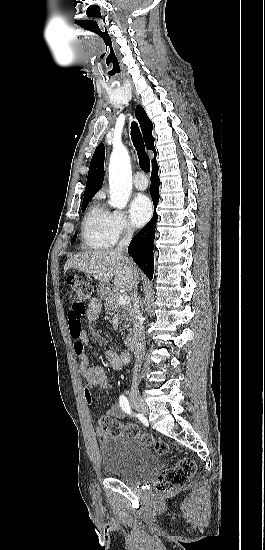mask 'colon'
Here are the masks:
<instances>
[{
	"label": "colon",
	"mask_w": 265,
	"mask_h": 550,
	"mask_svg": "<svg viewBox=\"0 0 265 550\" xmlns=\"http://www.w3.org/2000/svg\"><path fill=\"white\" fill-rule=\"evenodd\" d=\"M67 284L73 296V303L68 313L72 331V328L77 327L73 320H80L85 315L86 303L92 298L93 289L86 280L73 275L67 277ZM99 431L111 437L124 436L136 438L140 442L152 446L160 455H165L169 452V446L165 442L155 441L151 435L142 432L139 427L131 424H122L109 416H104L100 419ZM196 468L195 462L191 459H180L173 467L164 469L158 474L155 481L156 491L160 494L177 492L195 474Z\"/></svg>",
	"instance_id": "1"
}]
</instances>
